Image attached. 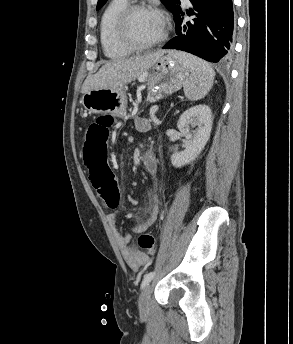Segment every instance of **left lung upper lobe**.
I'll return each mask as SVG.
<instances>
[{"mask_svg":"<svg viewBox=\"0 0 293 344\" xmlns=\"http://www.w3.org/2000/svg\"><path fill=\"white\" fill-rule=\"evenodd\" d=\"M107 0H98L96 10L102 8V6L106 3ZM166 8H168L172 13L175 11L177 6L179 5V0H160Z\"/></svg>","mask_w":293,"mask_h":344,"instance_id":"obj_1","label":"left lung upper lobe"}]
</instances>
